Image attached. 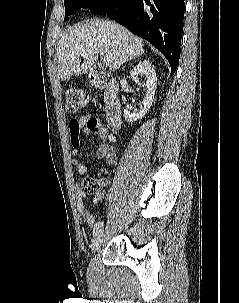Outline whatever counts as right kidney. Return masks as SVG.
I'll list each match as a JSON object with an SVG mask.
<instances>
[{"mask_svg": "<svg viewBox=\"0 0 239 303\" xmlns=\"http://www.w3.org/2000/svg\"><path fill=\"white\" fill-rule=\"evenodd\" d=\"M131 78L135 81H139V77L145 76L146 82L144 86L147 88L145 99L143 101V109L141 111L130 112L128 109L123 111L125 120L129 123H133L139 119H142L144 115L149 111L155 96L157 77L154 67L148 60L141 61L136 67L130 71Z\"/></svg>", "mask_w": 239, "mask_h": 303, "instance_id": "obj_1", "label": "right kidney"}]
</instances>
